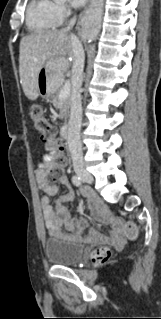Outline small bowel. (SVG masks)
I'll return each mask as SVG.
<instances>
[{
    "instance_id": "small-bowel-1",
    "label": "small bowel",
    "mask_w": 161,
    "mask_h": 319,
    "mask_svg": "<svg viewBox=\"0 0 161 319\" xmlns=\"http://www.w3.org/2000/svg\"><path fill=\"white\" fill-rule=\"evenodd\" d=\"M49 157L44 154L37 161V174L36 181L39 189L44 194L41 197V208L43 212L44 222L47 230L53 236H61V228H65L68 232L74 233L73 240H80V232L87 227V221L80 219L74 221L68 209L65 207L66 201H72L75 197V189L70 185L66 178H59L57 180H50L45 172V168L48 165ZM57 182L66 187V193L59 197L55 202V207L52 206L49 196L56 195L58 193ZM87 202L91 208L93 216L104 223H108L113 236L111 237L115 241H119L122 238L121 235V223L118 219L106 218L105 208L103 201L100 197H87ZM88 241H103L98 237V231L94 227L89 228L87 237Z\"/></svg>"
}]
</instances>
